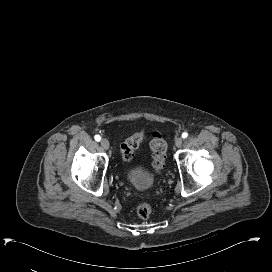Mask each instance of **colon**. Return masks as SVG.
<instances>
[{
  "instance_id": "colon-1",
  "label": "colon",
  "mask_w": 272,
  "mask_h": 272,
  "mask_svg": "<svg viewBox=\"0 0 272 272\" xmlns=\"http://www.w3.org/2000/svg\"><path fill=\"white\" fill-rule=\"evenodd\" d=\"M145 138L144 132H138L125 140L121 146L122 158L125 162L133 159L134 152L139 148ZM152 171L159 173L164 167L166 159L167 144L163 136L155 132L151 139ZM152 213V205L148 201H141L136 206V214L141 219H147Z\"/></svg>"
}]
</instances>
